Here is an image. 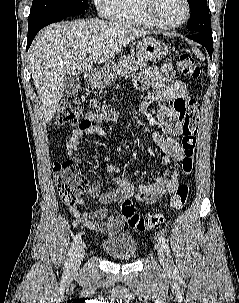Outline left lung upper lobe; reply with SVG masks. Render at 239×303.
<instances>
[{"label":"left lung upper lobe","instance_id":"obj_1","mask_svg":"<svg viewBox=\"0 0 239 303\" xmlns=\"http://www.w3.org/2000/svg\"><path fill=\"white\" fill-rule=\"evenodd\" d=\"M191 10L187 29L190 33L212 34L207 0H187Z\"/></svg>","mask_w":239,"mask_h":303}]
</instances>
